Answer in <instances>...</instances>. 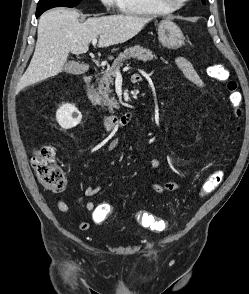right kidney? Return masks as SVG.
<instances>
[{
	"mask_svg": "<svg viewBox=\"0 0 249 294\" xmlns=\"http://www.w3.org/2000/svg\"><path fill=\"white\" fill-rule=\"evenodd\" d=\"M81 119V113L73 104H63L56 112V120L65 130L77 126Z\"/></svg>",
	"mask_w": 249,
	"mask_h": 294,
	"instance_id": "ca27d5eb",
	"label": "right kidney"
}]
</instances>
